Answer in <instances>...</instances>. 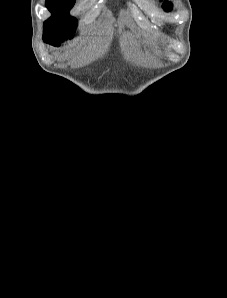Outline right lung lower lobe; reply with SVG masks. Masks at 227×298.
<instances>
[{"label": "right lung lower lobe", "instance_id": "right-lung-lower-lobe-1", "mask_svg": "<svg viewBox=\"0 0 227 298\" xmlns=\"http://www.w3.org/2000/svg\"><path fill=\"white\" fill-rule=\"evenodd\" d=\"M44 42L48 43V44H51L54 46V43L46 38H43Z\"/></svg>", "mask_w": 227, "mask_h": 298}]
</instances>
